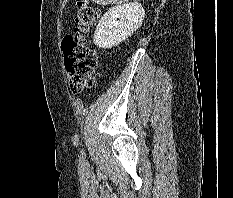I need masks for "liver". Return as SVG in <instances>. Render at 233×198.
Instances as JSON below:
<instances>
[{
    "label": "liver",
    "mask_w": 233,
    "mask_h": 198,
    "mask_svg": "<svg viewBox=\"0 0 233 198\" xmlns=\"http://www.w3.org/2000/svg\"><path fill=\"white\" fill-rule=\"evenodd\" d=\"M91 1L98 5H109V4L114 5V4H123L130 0H91Z\"/></svg>",
    "instance_id": "6515ba94"
}]
</instances>
